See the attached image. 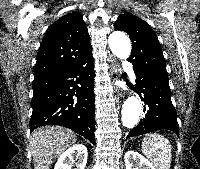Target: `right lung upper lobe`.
Returning <instances> with one entry per match:
<instances>
[{"label":"right lung upper lobe","instance_id":"cb5924a9","mask_svg":"<svg viewBox=\"0 0 200 169\" xmlns=\"http://www.w3.org/2000/svg\"><path fill=\"white\" fill-rule=\"evenodd\" d=\"M92 55L85 22L79 12L69 13L46 31L41 42L34 80L73 68Z\"/></svg>","mask_w":200,"mask_h":169}]
</instances>
